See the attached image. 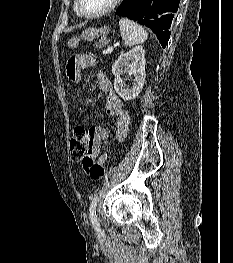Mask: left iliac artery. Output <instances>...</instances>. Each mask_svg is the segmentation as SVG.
Here are the masks:
<instances>
[{"instance_id":"44dca946","label":"left iliac artery","mask_w":233,"mask_h":263,"mask_svg":"<svg viewBox=\"0 0 233 263\" xmlns=\"http://www.w3.org/2000/svg\"><path fill=\"white\" fill-rule=\"evenodd\" d=\"M97 196L93 198L91 204H90V219L95 229H99V222L98 217L96 214V206H97Z\"/></svg>"}]
</instances>
